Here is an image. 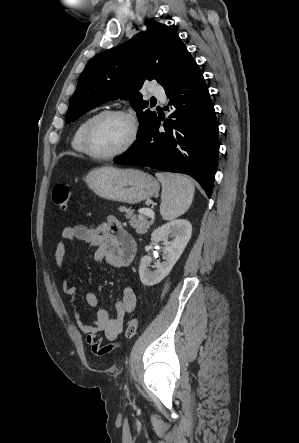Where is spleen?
Instances as JSON below:
<instances>
[{
	"label": "spleen",
	"instance_id": "obj_1",
	"mask_svg": "<svg viewBox=\"0 0 299 443\" xmlns=\"http://www.w3.org/2000/svg\"><path fill=\"white\" fill-rule=\"evenodd\" d=\"M162 184L160 213L164 220H173L190 207L195 188L190 179L181 175L157 173Z\"/></svg>",
	"mask_w": 299,
	"mask_h": 443
}]
</instances>
